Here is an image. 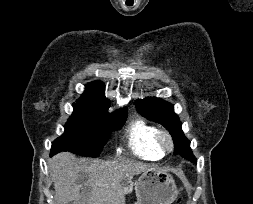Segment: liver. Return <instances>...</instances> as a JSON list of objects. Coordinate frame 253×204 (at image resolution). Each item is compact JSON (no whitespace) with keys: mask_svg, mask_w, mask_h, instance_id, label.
<instances>
[{"mask_svg":"<svg viewBox=\"0 0 253 204\" xmlns=\"http://www.w3.org/2000/svg\"><path fill=\"white\" fill-rule=\"evenodd\" d=\"M48 166L55 204H123L122 181L149 167L129 159H78L68 152L55 155Z\"/></svg>","mask_w":253,"mask_h":204,"instance_id":"1","label":"liver"}]
</instances>
